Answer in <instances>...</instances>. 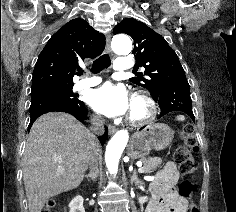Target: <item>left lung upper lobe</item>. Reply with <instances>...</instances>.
<instances>
[{
    "mask_svg": "<svg viewBox=\"0 0 236 212\" xmlns=\"http://www.w3.org/2000/svg\"><path fill=\"white\" fill-rule=\"evenodd\" d=\"M113 33L132 37L137 67L143 66L145 72L130 81L148 89L152 97L159 96L167 85L186 78L177 54L161 35L146 24L126 18L114 27Z\"/></svg>",
    "mask_w": 236,
    "mask_h": 212,
    "instance_id": "1",
    "label": "left lung upper lobe"
}]
</instances>
